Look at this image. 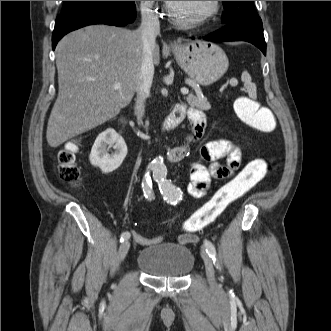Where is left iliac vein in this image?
<instances>
[{
	"instance_id": "left-iliac-vein-1",
	"label": "left iliac vein",
	"mask_w": 331,
	"mask_h": 331,
	"mask_svg": "<svg viewBox=\"0 0 331 331\" xmlns=\"http://www.w3.org/2000/svg\"><path fill=\"white\" fill-rule=\"evenodd\" d=\"M201 256H202L204 264H205L207 280H208L210 286L214 288L217 286V283L215 280V274H214L215 272H214V267H213L211 257L208 255L207 252H205L204 248H202V250H201Z\"/></svg>"
}]
</instances>
